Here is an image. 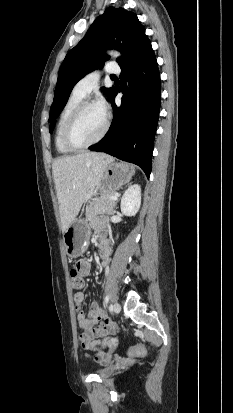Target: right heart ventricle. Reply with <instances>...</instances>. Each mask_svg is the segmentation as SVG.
I'll return each instance as SVG.
<instances>
[{"label": "right heart ventricle", "mask_w": 233, "mask_h": 413, "mask_svg": "<svg viewBox=\"0 0 233 413\" xmlns=\"http://www.w3.org/2000/svg\"><path fill=\"white\" fill-rule=\"evenodd\" d=\"M83 99H84V96H81L73 91L71 95L68 97L67 101L65 102L64 107L60 113V116L58 118L57 125H56V131H55V146H56L57 151L61 154H67L71 152V150L67 149L62 143V140H61L62 128L68 116L73 111V109L81 101H83Z\"/></svg>", "instance_id": "obj_1"}]
</instances>
